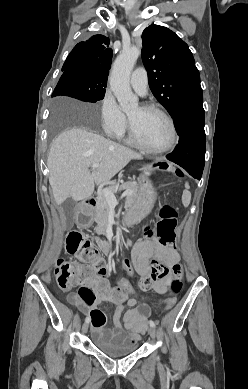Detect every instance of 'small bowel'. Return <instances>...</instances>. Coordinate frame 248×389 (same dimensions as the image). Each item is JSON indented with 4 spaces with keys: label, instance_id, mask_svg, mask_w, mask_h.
Instances as JSON below:
<instances>
[{
    "label": "small bowel",
    "instance_id": "1",
    "mask_svg": "<svg viewBox=\"0 0 248 389\" xmlns=\"http://www.w3.org/2000/svg\"><path fill=\"white\" fill-rule=\"evenodd\" d=\"M152 254H155L168 267H171L179 262V255L172 247L163 246L154 238L141 239L135 244L131 252L134 273L136 272L141 276H145L149 273L148 259ZM168 285V279H163L156 281L153 284V288L156 292L164 294L168 291ZM111 289H115L123 293L125 299L122 302L99 299L92 305L96 306L103 302L117 303L118 305L112 319V327L111 329H107V331L111 334H128L137 342L140 338V334L147 328L150 306L145 303L137 305L139 299L131 298L127 292L123 291L122 286L113 287ZM67 300L69 303L77 306L89 318L91 311L95 309L84 303L79 294L76 292L69 293Z\"/></svg>",
    "mask_w": 248,
    "mask_h": 389
}]
</instances>
